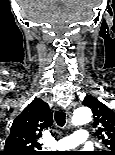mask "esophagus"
Instances as JSON below:
<instances>
[{"label": "esophagus", "instance_id": "1", "mask_svg": "<svg viewBox=\"0 0 115 155\" xmlns=\"http://www.w3.org/2000/svg\"><path fill=\"white\" fill-rule=\"evenodd\" d=\"M72 112H73V107L70 106V107L68 108V110H67V114H68L69 118L72 116Z\"/></svg>", "mask_w": 115, "mask_h": 155}]
</instances>
